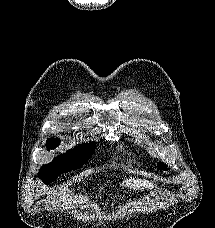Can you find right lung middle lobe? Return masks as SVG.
<instances>
[{
  "label": "right lung middle lobe",
  "mask_w": 215,
  "mask_h": 228,
  "mask_svg": "<svg viewBox=\"0 0 215 228\" xmlns=\"http://www.w3.org/2000/svg\"><path fill=\"white\" fill-rule=\"evenodd\" d=\"M58 145V139L51 138L47 140V148L54 149ZM95 147L96 143L90 142L89 144L70 149L65 154L55 158L50 164L43 166L39 173L40 178L44 183L49 184L58 175L81 168L92 156Z\"/></svg>",
  "instance_id": "obj_1"
}]
</instances>
